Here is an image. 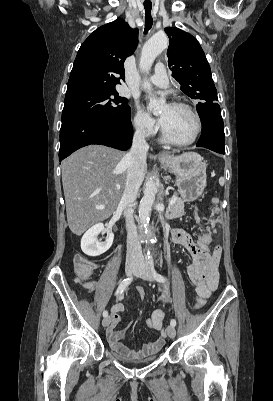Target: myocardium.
Masks as SVG:
<instances>
[{"label":"myocardium","instance_id":"f54148a6","mask_svg":"<svg viewBox=\"0 0 273 401\" xmlns=\"http://www.w3.org/2000/svg\"><path fill=\"white\" fill-rule=\"evenodd\" d=\"M170 106L178 107L181 109L186 110L195 120L196 122V132L192 138L189 140H178L173 137H171L163 128L162 124L160 123V129H161V136L164 142L171 144V145H176V146H188L196 142L203 130V123L202 119L199 115V113L190 105L182 103V102H172Z\"/></svg>","mask_w":273,"mask_h":401}]
</instances>
